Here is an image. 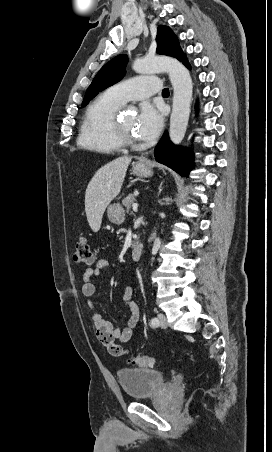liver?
Wrapping results in <instances>:
<instances>
[{"mask_svg":"<svg viewBox=\"0 0 272 452\" xmlns=\"http://www.w3.org/2000/svg\"><path fill=\"white\" fill-rule=\"evenodd\" d=\"M131 157L121 156L102 166L89 182L85 193V212L89 226L98 232L103 214L120 193Z\"/></svg>","mask_w":272,"mask_h":452,"instance_id":"1","label":"liver"}]
</instances>
